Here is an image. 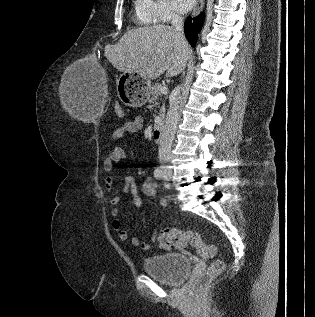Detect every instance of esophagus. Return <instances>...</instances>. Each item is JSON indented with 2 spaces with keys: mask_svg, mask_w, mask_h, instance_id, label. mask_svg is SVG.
I'll return each instance as SVG.
<instances>
[{
  "mask_svg": "<svg viewBox=\"0 0 315 317\" xmlns=\"http://www.w3.org/2000/svg\"><path fill=\"white\" fill-rule=\"evenodd\" d=\"M203 5H204V0H197L195 8L193 9V12H192V16L198 15L202 10Z\"/></svg>",
  "mask_w": 315,
  "mask_h": 317,
  "instance_id": "34e87169",
  "label": "esophagus"
}]
</instances>
